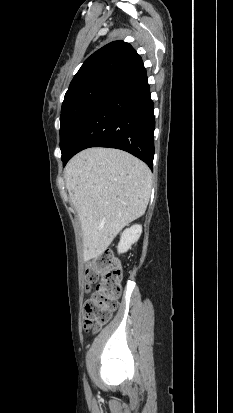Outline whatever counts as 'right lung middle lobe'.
<instances>
[{
    "label": "right lung middle lobe",
    "mask_w": 233,
    "mask_h": 413,
    "mask_svg": "<svg viewBox=\"0 0 233 413\" xmlns=\"http://www.w3.org/2000/svg\"><path fill=\"white\" fill-rule=\"evenodd\" d=\"M115 80L108 77L95 79L65 95L60 117L62 158L68 154L85 121Z\"/></svg>",
    "instance_id": "obj_1"
}]
</instances>
